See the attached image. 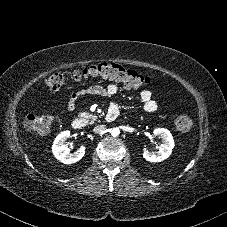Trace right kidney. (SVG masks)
<instances>
[{
	"label": "right kidney",
	"instance_id": "ca27d5eb",
	"mask_svg": "<svg viewBox=\"0 0 227 227\" xmlns=\"http://www.w3.org/2000/svg\"><path fill=\"white\" fill-rule=\"evenodd\" d=\"M70 137V131L61 132L54 140L52 146V152L56 159L64 164H72L79 161L85 154V146H80V148L70 153L69 148L66 147V140Z\"/></svg>",
	"mask_w": 227,
	"mask_h": 227
}]
</instances>
